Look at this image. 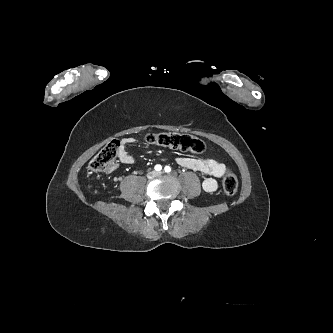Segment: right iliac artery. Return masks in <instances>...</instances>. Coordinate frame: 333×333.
<instances>
[{
  "mask_svg": "<svg viewBox=\"0 0 333 333\" xmlns=\"http://www.w3.org/2000/svg\"><path fill=\"white\" fill-rule=\"evenodd\" d=\"M154 169L156 171H161L162 170V166L160 164H157V165H155Z\"/></svg>",
  "mask_w": 333,
  "mask_h": 333,
  "instance_id": "right-iliac-artery-1",
  "label": "right iliac artery"
}]
</instances>
